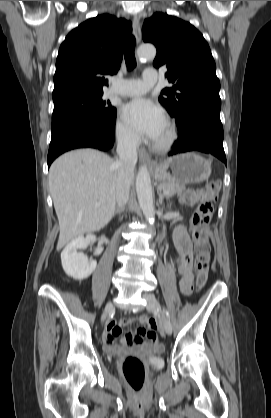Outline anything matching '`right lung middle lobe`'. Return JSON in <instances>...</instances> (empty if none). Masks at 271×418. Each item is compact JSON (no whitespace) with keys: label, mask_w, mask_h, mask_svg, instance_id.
<instances>
[{"label":"right lung middle lobe","mask_w":271,"mask_h":418,"mask_svg":"<svg viewBox=\"0 0 271 418\" xmlns=\"http://www.w3.org/2000/svg\"><path fill=\"white\" fill-rule=\"evenodd\" d=\"M103 92L77 94L54 101L52 127L60 123L90 117L116 118V109L102 99Z\"/></svg>","instance_id":"right-lung-middle-lobe-1"}]
</instances>
